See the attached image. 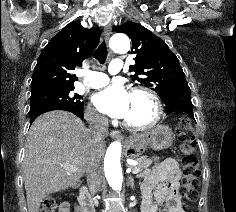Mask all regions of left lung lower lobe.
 Returning <instances> with one entry per match:
<instances>
[{"mask_svg": "<svg viewBox=\"0 0 236 212\" xmlns=\"http://www.w3.org/2000/svg\"><path fill=\"white\" fill-rule=\"evenodd\" d=\"M163 102L166 105L168 114L172 112H184L194 119L190 88H183L171 93Z\"/></svg>", "mask_w": 236, "mask_h": 212, "instance_id": "0a47b994", "label": "left lung lower lobe"}]
</instances>
